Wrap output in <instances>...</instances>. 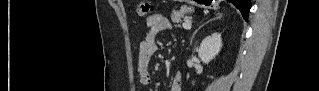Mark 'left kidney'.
<instances>
[{
    "label": "left kidney",
    "mask_w": 319,
    "mask_h": 91,
    "mask_svg": "<svg viewBox=\"0 0 319 91\" xmlns=\"http://www.w3.org/2000/svg\"><path fill=\"white\" fill-rule=\"evenodd\" d=\"M222 48L221 34L213 33L211 36L204 38L198 50V56L201 61L208 64Z\"/></svg>",
    "instance_id": "5707ae66"
}]
</instances>
